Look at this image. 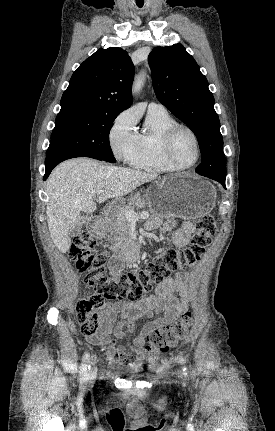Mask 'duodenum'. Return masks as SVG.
I'll return each mask as SVG.
<instances>
[{
	"mask_svg": "<svg viewBox=\"0 0 275 431\" xmlns=\"http://www.w3.org/2000/svg\"><path fill=\"white\" fill-rule=\"evenodd\" d=\"M105 220L100 217L92 228L95 237H101L104 232ZM141 251L137 243L130 242L125 244L120 250V257L124 262L133 263L140 257Z\"/></svg>",
	"mask_w": 275,
	"mask_h": 431,
	"instance_id": "1",
	"label": "duodenum"
}]
</instances>
